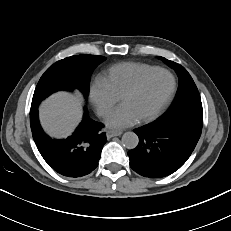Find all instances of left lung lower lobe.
Listing matches in <instances>:
<instances>
[{
    "mask_svg": "<svg viewBox=\"0 0 231 231\" xmlns=\"http://www.w3.org/2000/svg\"><path fill=\"white\" fill-rule=\"evenodd\" d=\"M203 122L155 121L134 132L138 146L128 152L131 168L142 176L161 178L177 171L193 152Z\"/></svg>",
    "mask_w": 231,
    "mask_h": 231,
    "instance_id": "obj_1",
    "label": "left lung lower lobe"
}]
</instances>
